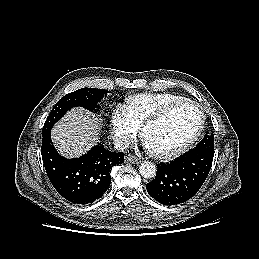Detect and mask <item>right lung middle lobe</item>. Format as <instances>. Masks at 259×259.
<instances>
[{
  "instance_id": "dd1d6c3e",
  "label": "right lung middle lobe",
  "mask_w": 259,
  "mask_h": 259,
  "mask_svg": "<svg viewBox=\"0 0 259 259\" xmlns=\"http://www.w3.org/2000/svg\"><path fill=\"white\" fill-rule=\"evenodd\" d=\"M108 90L96 88H82L62 97L53 107L49 114L42 132L51 130L53 125L64 116V114L73 107H83L89 111H95L99 108L98 103L103 96H106Z\"/></svg>"
}]
</instances>
